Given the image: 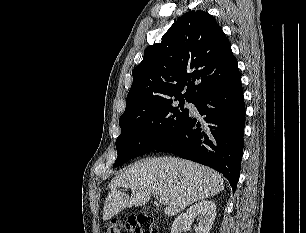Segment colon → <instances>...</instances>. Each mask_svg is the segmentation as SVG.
<instances>
[{
    "label": "colon",
    "instance_id": "obj_1",
    "mask_svg": "<svg viewBox=\"0 0 306 233\" xmlns=\"http://www.w3.org/2000/svg\"><path fill=\"white\" fill-rule=\"evenodd\" d=\"M156 233V225L153 218L138 215L128 218L125 221L111 220L104 226V233Z\"/></svg>",
    "mask_w": 306,
    "mask_h": 233
}]
</instances>
